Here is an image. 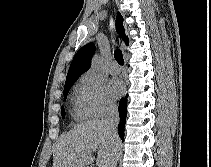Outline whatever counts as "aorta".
<instances>
[{
    "label": "aorta",
    "mask_w": 211,
    "mask_h": 167,
    "mask_svg": "<svg viewBox=\"0 0 211 167\" xmlns=\"http://www.w3.org/2000/svg\"><path fill=\"white\" fill-rule=\"evenodd\" d=\"M92 68L93 69H98L99 68V59L95 57L92 61Z\"/></svg>",
    "instance_id": "1"
}]
</instances>
